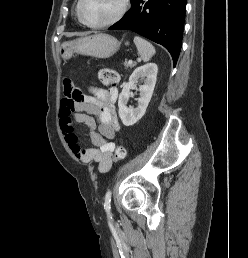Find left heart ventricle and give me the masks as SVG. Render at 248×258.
Returning a JSON list of instances; mask_svg holds the SVG:
<instances>
[{
  "label": "left heart ventricle",
  "instance_id": "left-heart-ventricle-1",
  "mask_svg": "<svg viewBox=\"0 0 248 258\" xmlns=\"http://www.w3.org/2000/svg\"><path fill=\"white\" fill-rule=\"evenodd\" d=\"M121 0H84L82 12L91 23H100L113 17L119 10Z\"/></svg>",
  "mask_w": 248,
  "mask_h": 258
}]
</instances>
